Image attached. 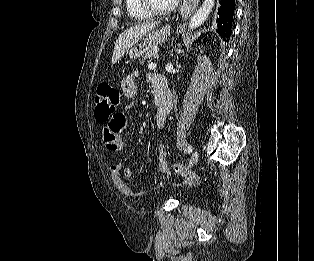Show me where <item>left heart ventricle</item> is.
<instances>
[{"instance_id": "b2bd125f", "label": "left heart ventricle", "mask_w": 314, "mask_h": 261, "mask_svg": "<svg viewBox=\"0 0 314 261\" xmlns=\"http://www.w3.org/2000/svg\"><path fill=\"white\" fill-rule=\"evenodd\" d=\"M153 5L157 8H166L173 0H151Z\"/></svg>"}]
</instances>
